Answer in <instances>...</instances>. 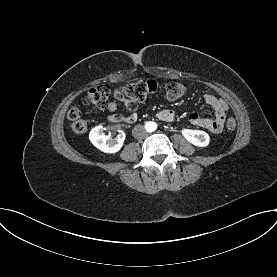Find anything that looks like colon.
I'll return each instance as SVG.
<instances>
[{
	"label": "colon",
	"instance_id": "obj_1",
	"mask_svg": "<svg viewBox=\"0 0 277 277\" xmlns=\"http://www.w3.org/2000/svg\"><path fill=\"white\" fill-rule=\"evenodd\" d=\"M188 84L176 79H169L163 83L154 80H138L124 84L120 93L134 103L143 102L157 92H162L169 100H178L188 93ZM111 96V88L108 85H99L88 90L85 100L98 108H105ZM79 107H72L67 113L68 119L72 122L71 129L77 134L86 132L88 123L81 118ZM235 120L227 121V128H235Z\"/></svg>",
	"mask_w": 277,
	"mask_h": 277
}]
</instances>
